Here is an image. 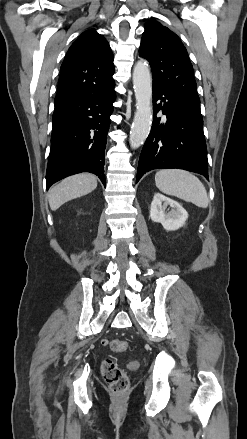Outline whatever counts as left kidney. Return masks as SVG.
<instances>
[{"mask_svg":"<svg viewBox=\"0 0 247 439\" xmlns=\"http://www.w3.org/2000/svg\"><path fill=\"white\" fill-rule=\"evenodd\" d=\"M168 206L171 210L165 212ZM150 218L153 222L161 223L165 230L174 231L185 224L188 213L177 201L161 193H155L151 203Z\"/></svg>","mask_w":247,"mask_h":439,"instance_id":"1","label":"left kidney"}]
</instances>
